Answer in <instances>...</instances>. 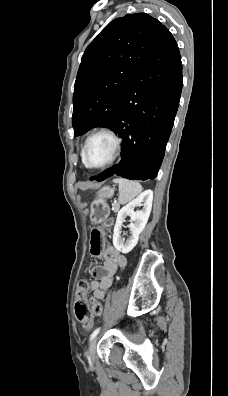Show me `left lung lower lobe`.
Masks as SVG:
<instances>
[{
  "instance_id": "left-lung-lower-lobe-1",
  "label": "left lung lower lobe",
  "mask_w": 228,
  "mask_h": 396,
  "mask_svg": "<svg viewBox=\"0 0 228 396\" xmlns=\"http://www.w3.org/2000/svg\"><path fill=\"white\" fill-rule=\"evenodd\" d=\"M182 64L172 34L164 26L133 79L110 127L122 137V158L99 176L147 180L157 176L178 109Z\"/></svg>"
}]
</instances>
